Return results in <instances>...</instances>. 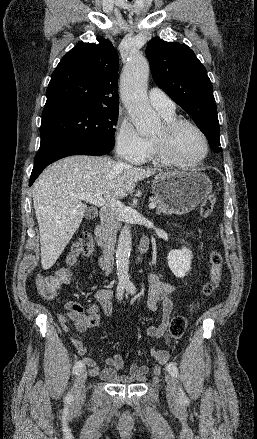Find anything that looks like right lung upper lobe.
Returning a JSON list of instances; mask_svg holds the SVG:
<instances>
[{
    "label": "right lung upper lobe",
    "mask_w": 257,
    "mask_h": 439,
    "mask_svg": "<svg viewBox=\"0 0 257 439\" xmlns=\"http://www.w3.org/2000/svg\"><path fill=\"white\" fill-rule=\"evenodd\" d=\"M79 43L59 62L47 88L46 118L82 108H119L118 55L112 43Z\"/></svg>",
    "instance_id": "cb5924a9"
}]
</instances>
